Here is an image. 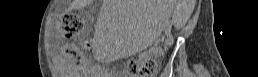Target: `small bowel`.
<instances>
[{
    "label": "small bowel",
    "instance_id": "c3829d8e",
    "mask_svg": "<svg viewBox=\"0 0 258 77\" xmlns=\"http://www.w3.org/2000/svg\"><path fill=\"white\" fill-rule=\"evenodd\" d=\"M70 67H71L72 69H74V66H73L72 64H70Z\"/></svg>",
    "mask_w": 258,
    "mask_h": 77
}]
</instances>
